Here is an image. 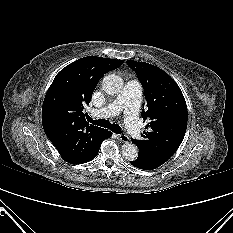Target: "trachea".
I'll use <instances>...</instances> for the list:
<instances>
[{
  "instance_id": "obj_1",
  "label": "trachea",
  "mask_w": 233,
  "mask_h": 233,
  "mask_svg": "<svg viewBox=\"0 0 233 233\" xmlns=\"http://www.w3.org/2000/svg\"><path fill=\"white\" fill-rule=\"evenodd\" d=\"M88 121L94 125L109 128L111 131H113L116 134H120L122 132L121 127L118 124H111L108 120L105 119H98V120H92V118L88 117Z\"/></svg>"
}]
</instances>
